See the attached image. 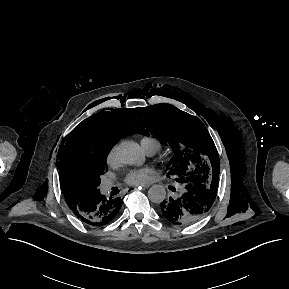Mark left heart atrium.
<instances>
[{
	"label": "left heart atrium",
	"instance_id": "obj_1",
	"mask_svg": "<svg viewBox=\"0 0 289 289\" xmlns=\"http://www.w3.org/2000/svg\"><path fill=\"white\" fill-rule=\"evenodd\" d=\"M153 170L149 168L132 170L130 171L125 180L129 184L142 185L149 182L152 179Z\"/></svg>",
	"mask_w": 289,
	"mask_h": 289
}]
</instances>
